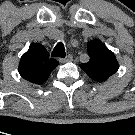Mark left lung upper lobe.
<instances>
[{
    "label": "left lung upper lobe",
    "mask_w": 135,
    "mask_h": 135,
    "mask_svg": "<svg viewBox=\"0 0 135 135\" xmlns=\"http://www.w3.org/2000/svg\"><path fill=\"white\" fill-rule=\"evenodd\" d=\"M89 62L80 64L82 70L96 82H103L117 72L119 65L114 53L99 40L87 43Z\"/></svg>",
    "instance_id": "1"
}]
</instances>
